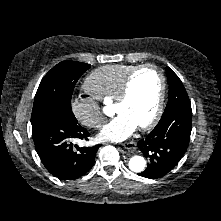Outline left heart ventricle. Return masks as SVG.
I'll list each match as a JSON object with an SVG mask.
<instances>
[{
    "mask_svg": "<svg viewBox=\"0 0 221 221\" xmlns=\"http://www.w3.org/2000/svg\"><path fill=\"white\" fill-rule=\"evenodd\" d=\"M160 88L158 73L153 69L143 70L135 76L129 98L115 105L113 111L127 115L137 126L145 124L156 111Z\"/></svg>",
    "mask_w": 221,
    "mask_h": 221,
    "instance_id": "b2bd125f",
    "label": "left heart ventricle"
}]
</instances>
